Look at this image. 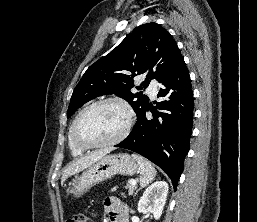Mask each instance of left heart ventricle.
<instances>
[{"mask_svg":"<svg viewBox=\"0 0 257 222\" xmlns=\"http://www.w3.org/2000/svg\"><path fill=\"white\" fill-rule=\"evenodd\" d=\"M126 114L115 103L99 105L81 119L77 135L86 143H101L115 138L124 128Z\"/></svg>","mask_w":257,"mask_h":222,"instance_id":"left-heart-ventricle-1","label":"left heart ventricle"}]
</instances>
